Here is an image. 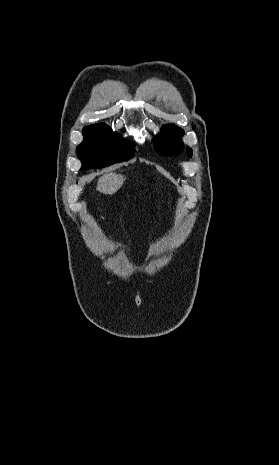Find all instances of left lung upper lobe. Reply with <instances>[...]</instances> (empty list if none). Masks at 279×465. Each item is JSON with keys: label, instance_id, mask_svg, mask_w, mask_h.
<instances>
[{"label": "left lung upper lobe", "instance_id": "5c2ea615", "mask_svg": "<svg viewBox=\"0 0 279 465\" xmlns=\"http://www.w3.org/2000/svg\"><path fill=\"white\" fill-rule=\"evenodd\" d=\"M184 132L181 128L171 124L162 127V133L154 139V148L163 155L179 154L184 145L182 136ZM188 155L192 156V149L187 147Z\"/></svg>", "mask_w": 279, "mask_h": 465}]
</instances>
